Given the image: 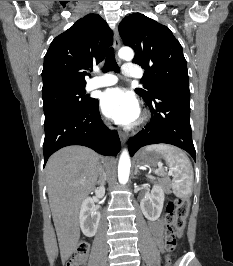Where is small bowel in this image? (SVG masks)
<instances>
[{
  "label": "small bowel",
  "mask_w": 233,
  "mask_h": 266,
  "mask_svg": "<svg viewBox=\"0 0 233 266\" xmlns=\"http://www.w3.org/2000/svg\"><path fill=\"white\" fill-rule=\"evenodd\" d=\"M149 227L157 244L159 246H162L163 232H164L162 220L159 219L155 221H150Z\"/></svg>",
  "instance_id": "1"
}]
</instances>
